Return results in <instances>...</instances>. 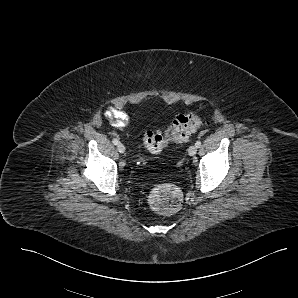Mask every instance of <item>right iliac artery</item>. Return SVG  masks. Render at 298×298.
<instances>
[{"mask_svg":"<svg viewBox=\"0 0 298 298\" xmlns=\"http://www.w3.org/2000/svg\"><path fill=\"white\" fill-rule=\"evenodd\" d=\"M112 142H113L114 145H118L119 144V140L118 139H115V138L112 140Z\"/></svg>","mask_w":298,"mask_h":298,"instance_id":"82829eb1","label":"right iliac artery"}]
</instances>
